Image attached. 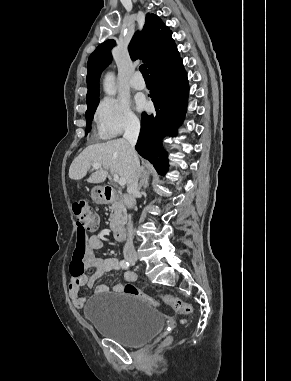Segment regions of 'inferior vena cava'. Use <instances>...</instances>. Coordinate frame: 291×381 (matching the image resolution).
I'll use <instances>...</instances> for the list:
<instances>
[{"instance_id": "obj_1", "label": "inferior vena cava", "mask_w": 291, "mask_h": 381, "mask_svg": "<svg viewBox=\"0 0 291 381\" xmlns=\"http://www.w3.org/2000/svg\"><path fill=\"white\" fill-rule=\"evenodd\" d=\"M139 132H140L139 121H131L126 126L125 133L123 136L124 139L127 140L130 144V147H131L130 154H131L134 169H135L133 180L127 188L128 193L132 195L133 197H136L138 194L139 162L135 152V145L137 143ZM127 230H128L127 241L124 246L123 252L124 254H135V249L133 245V223L131 221V217H129Z\"/></svg>"}]
</instances>
